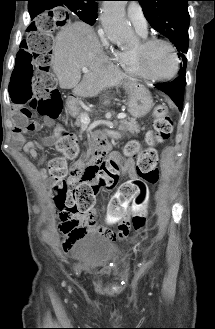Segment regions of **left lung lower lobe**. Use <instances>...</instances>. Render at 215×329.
I'll use <instances>...</instances> for the list:
<instances>
[{
  "instance_id": "left-lung-lower-lobe-1",
  "label": "left lung lower lobe",
  "mask_w": 215,
  "mask_h": 329,
  "mask_svg": "<svg viewBox=\"0 0 215 329\" xmlns=\"http://www.w3.org/2000/svg\"><path fill=\"white\" fill-rule=\"evenodd\" d=\"M185 74L186 73L184 72L170 83L155 85L158 89L169 95L179 109H181L183 105V92L184 86L186 85Z\"/></svg>"
}]
</instances>
